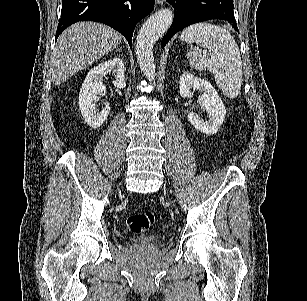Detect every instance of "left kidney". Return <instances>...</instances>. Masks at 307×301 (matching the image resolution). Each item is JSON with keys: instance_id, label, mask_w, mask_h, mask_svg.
<instances>
[{"instance_id": "1", "label": "left kidney", "mask_w": 307, "mask_h": 301, "mask_svg": "<svg viewBox=\"0 0 307 301\" xmlns=\"http://www.w3.org/2000/svg\"><path fill=\"white\" fill-rule=\"evenodd\" d=\"M191 88L203 92V94L198 96V100L201 102L205 112H207L208 120H203L196 112H189L188 120L200 132L215 134V132H218L221 124H223L226 116L224 102H222L218 92H216L209 80L197 78V76L190 74V72H183L179 80V92L181 96H191L193 94Z\"/></svg>"}]
</instances>
